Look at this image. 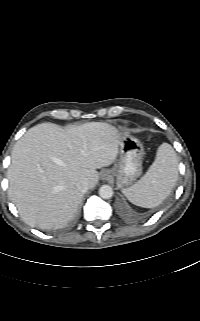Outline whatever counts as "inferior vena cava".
<instances>
[{"label": "inferior vena cava", "instance_id": "1", "mask_svg": "<svg viewBox=\"0 0 200 321\" xmlns=\"http://www.w3.org/2000/svg\"><path fill=\"white\" fill-rule=\"evenodd\" d=\"M76 186L82 192H86L88 190V181L86 179L80 180Z\"/></svg>", "mask_w": 200, "mask_h": 321}]
</instances>
